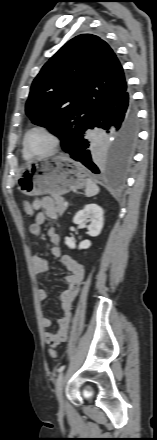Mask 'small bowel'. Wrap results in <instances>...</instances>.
Wrapping results in <instances>:
<instances>
[{"instance_id":"small-bowel-1","label":"small bowel","mask_w":157,"mask_h":440,"mask_svg":"<svg viewBox=\"0 0 157 440\" xmlns=\"http://www.w3.org/2000/svg\"><path fill=\"white\" fill-rule=\"evenodd\" d=\"M32 208L34 218L33 223L29 226V232L32 236L38 237L41 235L45 218L56 219L58 211L55 201L50 197L34 200ZM47 236L51 244V254L59 259L61 265L66 270L63 278L66 288L58 295L63 316L57 322L58 330L56 333L49 330L44 332L46 343L51 347H56L67 339L68 329L72 319V305L84 279V268L71 256L62 254L59 247L61 239L55 226H50L47 229ZM32 264L37 276H42L48 271V262L39 255L33 256ZM37 294L40 301L46 300L47 293L44 289H39ZM41 323L45 329H48L52 325L50 319L47 317H43Z\"/></svg>"}]
</instances>
